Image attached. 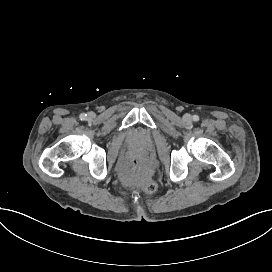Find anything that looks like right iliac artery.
I'll use <instances>...</instances> for the list:
<instances>
[{"mask_svg": "<svg viewBox=\"0 0 272 272\" xmlns=\"http://www.w3.org/2000/svg\"><path fill=\"white\" fill-rule=\"evenodd\" d=\"M86 116L87 115L85 113H82V114H80L79 118H80V120H85Z\"/></svg>", "mask_w": 272, "mask_h": 272, "instance_id": "right-iliac-artery-1", "label": "right iliac artery"}]
</instances>
